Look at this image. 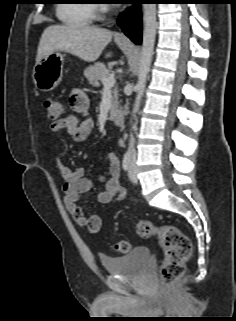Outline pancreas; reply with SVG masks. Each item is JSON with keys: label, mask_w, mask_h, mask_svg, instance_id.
<instances>
[{"label": "pancreas", "mask_w": 236, "mask_h": 321, "mask_svg": "<svg viewBox=\"0 0 236 321\" xmlns=\"http://www.w3.org/2000/svg\"><path fill=\"white\" fill-rule=\"evenodd\" d=\"M88 82L94 87L100 86V81L105 77L112 75L110 69H108L103 63H96L93 66L86 68L84 72ZM118 108V89L117 87L113 90V100L110 108V113L113 114Z\"/></svg>", "instance_id": "pancreas-1"}]
</instances>
